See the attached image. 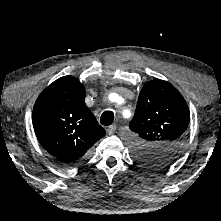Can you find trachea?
I'll return each mask as SVG.
<instances>
[{"label": "trachea", "instance_id": "3493384b", "mask_svg": "<svg viewBox=\"0 0 221 221\" xmlns=\"http://www.w3.org/2000/svg\"><path fill=\"white\" fill-rule=\"evenodd\" d=\"M114 121V113L112 111H105L102 113L100 123L105 126H109Z\"/></svg>", "mask_w": 221, "mask_h": 221}]
</instances>
